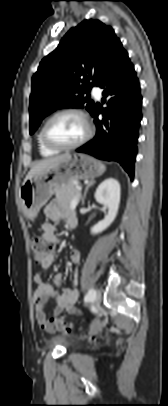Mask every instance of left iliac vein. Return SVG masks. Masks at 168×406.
<instances>
[{
    "label": "left iliac vein",
    "mask_w": 168,
    "mask_h": 406,
    "mask_svg": "<svg viewBox=\"0 0 168 406\" xmlns=\"http://www.w3.org/2000/svg\"><path fill=\"white\" fill-rule=\"evenodd\" d=\"M92 301H93V304H94L95 307L99 306L100 301H101V291L99 289L95 290V294H94V297H93Z\"/></svg>",
    "instance_id": "1"
}]
</instances>
